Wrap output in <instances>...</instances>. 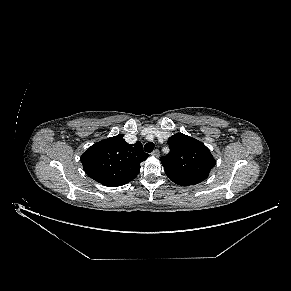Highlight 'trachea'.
I'll return each instance as SVG.
<instances>
[{"label": "trachea", "instance_id": "trachea-1", "mask_svg": "<svg viewBox=\"0 0 291 291\" xmlns=\"http://www.w3.org/2000/svg\"><path fill=\"white\" fill-rule=\"evenodd\" d=\"M153 149H154V143H152V142H148L144 145V150L147 153H151L153 151Z\"/></svg>", "mask_w": 291, "mask_h": 291}]
</instances>
